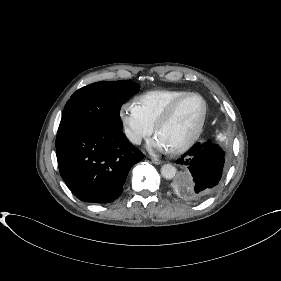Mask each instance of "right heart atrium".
Masks as SVG:
<instances>
[{
	"label": "right heart atrium",
	"instance_id": "obj_1",
	"mask_svg": "<svg viewBox=\"0 0 281 281\" xmlns=\"http://www.w3.org/2000/svg\"><path fill=\"white\" fill-rule=\"evenodd\" d=\"M119 115L125 134L132 143L139 144L153 132V125L145 118L136 102L123 103Z\"/></svg>",
	"mask_w": 281,
	"mask_h": 281
}]
</instances>
